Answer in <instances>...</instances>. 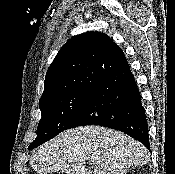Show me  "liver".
Returning a JSON list of instances; mask_svg holds the SVG:
<instances>
[{
  "label": "liver",
  "mask_w": 175,
  "mask_h": 174,
  "mask_svg": "<svg viewBox=\"0 0 175 174\" xmlns=\"http://www.w3.org/2000/svg\"><path fill=\"white\" fill-rule=\"evenodd\" d=\"M149 160L148 150L130 136L100 126H83L62 132L31 156L38 174H126ZM94 165L88 170L86 164Z\"/></svg>",
  "instance_id": "liver-1"
}]
</instances>
